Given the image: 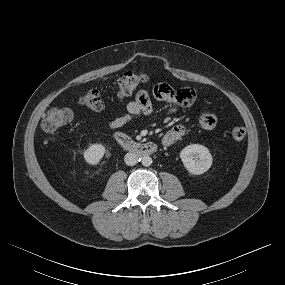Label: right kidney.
<instances>
[{"instance_id": "1", "label": "right kidney", "mask_w": 285, "mask_h": 285, "mask_svg": "<svg viewBox=\"0 0 285 285\" xmlns=\"http://www.w3.org/2000/svg\"><path fill=\"white\" fill-rule=\"evenodd\" d=\"M105 154L102 144H91L83 153L85 161L90 165H97Z\"/></svg>"}]
</instances>
